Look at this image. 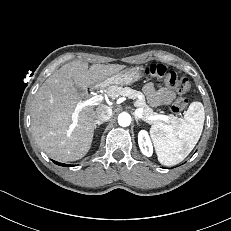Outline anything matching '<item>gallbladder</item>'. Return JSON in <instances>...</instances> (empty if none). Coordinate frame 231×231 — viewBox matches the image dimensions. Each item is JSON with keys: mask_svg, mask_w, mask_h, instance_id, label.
Segmentation results:
<instances>
[{"mask_svg": "<svg viewBox=\"0 0 231 231\" xmlns=\"http://www.w3.org/2000/svg\"><path fill=\"white\" fill-rule=\"evenodd\" d=\"M75 88H76L78 93H84L85 92V90L83 88H81V87H79L77 85H75Z\"/></svg>", "mask_w": 231, "mask_h": 231, "instance_id": "obj_1", "label": "gallbladder"}]
</instances>
